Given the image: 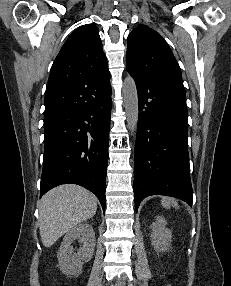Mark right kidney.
Returning a JSON list of instances; mask_svg holds the SVG:
<instances>
[{
    "mask_svg": "<svg viewBox=\"0 0 231 286\" xmlns=\"http://www.w3.org/2000/svg\"><path fill=\"white\" fill-rule=\"evenodd\" d=\"M80 239L83 246L74 253L71 244ZM96 245L95 232L91 225L80 224L64 236L63 242L57 252L60 270L68 276H77L82 272L84 262L91 260Z\"/></svg>",
    "mask_w": 231,
    "mask_h": 286,
    "instance_id": "1",
    "label": "right kidney"
}]
</instances>
